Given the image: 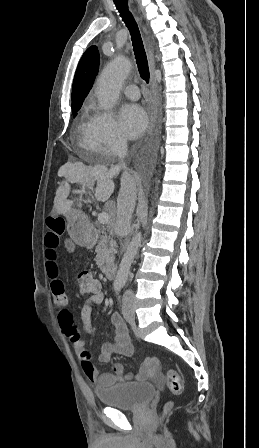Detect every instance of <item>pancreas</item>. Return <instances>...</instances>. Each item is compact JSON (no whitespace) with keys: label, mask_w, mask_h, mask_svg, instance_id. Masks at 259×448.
<instances>
[{"label":"pancreas","mask_w":259,"mask_h":448,"mask_svg":"<svg viewBox=\"0 0 259 448\" xmlns=\"http://www.w3.org/2000/svg\"><path fill=\"white\" fill-rule=\"evenodd\" d=\"M100 234H102V236L95 250L97 254L95 260L99 270H103L104 264H111V262H114L116 242L113 240L112 236H109L106 232H100Z\"/></svg>","instance_id":"1"}]
</instances>
